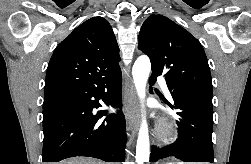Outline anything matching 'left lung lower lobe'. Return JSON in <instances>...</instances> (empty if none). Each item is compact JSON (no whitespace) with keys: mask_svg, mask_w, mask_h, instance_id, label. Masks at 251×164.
I'll use <instances>...</instances> for the list:
<instances>
[{"mask_svg":"<svg viewBox=\"0 0 251 164\" xmlns=\"http://www.w3.org/2000/svg\"><path fill=\"white\" fill-rule=\"evenodd\" d=\"M156 76L151 75L149 83L153 85ZM168 86L175 102L171 108L178 110V139L165 147H152L150 162L174 156L184 162H213L212 96L188 89ZM152 93V87H150Z\"/></svg>","mask_w":251,"mask_h":164,"instance_id":"0a47b994","label":"left lung lower lobe"}]
</instances>
